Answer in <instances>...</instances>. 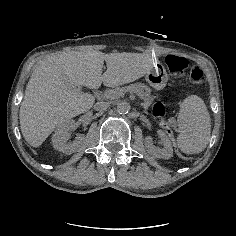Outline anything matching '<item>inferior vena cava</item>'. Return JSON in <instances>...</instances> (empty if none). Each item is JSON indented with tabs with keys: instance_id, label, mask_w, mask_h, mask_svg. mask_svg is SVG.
Masks as SVG:
<instances>
[{
	"instance_id": "1",
	"label": "inferior vena cava",
	"mask_w": 236,
	"mask_h": 236,
	"mask_svg": "<svg viewBox=\"0 0 236 236\" xmlns=\"http://www.w3.org/2000/svg\"><path fill=\"white\" fill-rule=\"evenodd\" d=\"M110 102H98L94 108L95 110L99 111V110H106L110 107Z\"/></svg>"
}]
</instances>
